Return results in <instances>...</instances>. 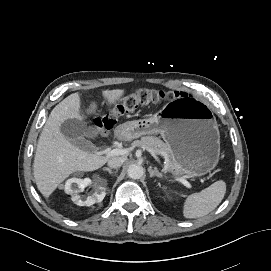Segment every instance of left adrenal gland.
Masks as SVG:
<instances>
[{
  "instance_id": "obj_1",
  "label": "left adrenal gland",
  "mask_w": 271,
  "mask_h": 271,
  "mask_svg": "<svg viewBox=\"0 0 271 271\" xmlns=\"http://www.w3.org/2000/svg\"><path fill=\"white\" fill-rule=\"evenodd\" d=\"M148 172L150 173V177H158V178L163 177L162 174L158 172L156 167L154 169H152V167H149Z\"/></svg>"
}]
</instances>
